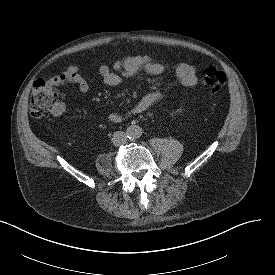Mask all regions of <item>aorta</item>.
Here are the masks:
<instances>
[{
  "mask_svg": "<svg viewBox=\"0 0 275 275\" xmlns=\"http://www.w3.org/2000/svg\"><path fill=\"white\" fill-rule=\"evenodd\" d=\"M126 135L129 139H137L142 135V129L139 126H130L127 128Z\"/></svg>",
  "mask_w": 275,
  "mask_h": 275,
  "instance_id": "762f6f07",
  "label": "aorta"
}]
</instances>
